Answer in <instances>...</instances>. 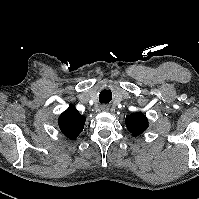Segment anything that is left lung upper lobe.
<instances>
[{"label": "left lung upper lobe", "instance_id": "5c2ea615", "mask_svg": "<svg viewBox=\"0 0 199 199\" xmlns=\"http://www.w3.org/2000/svg\"><path fill=\"white\" fill-rule=\"evenodd\" d=\"M127 129L134 135H140L148 127V120L142 112L132 113L125 119Z\"/></svg>", "mask_w": 199, "mask_h": 199}]
</instances>
